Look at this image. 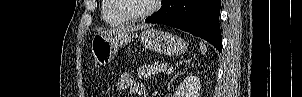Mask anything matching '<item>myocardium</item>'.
<instances>
[{"instance_id": "myocardium-1", "label": "myocardium", "mask_w": 302, "mask_h": 97, "mask_svg": "<svg viewBox=\"0 0 302 97\" xmlns=\"http://www.w3.org/2000/svg\"><path fill=\"white\" fill-rule=\"evenodd\" d=\"M114 8L118 14L124 17L128 21H140L151 16L156 10L158 6V1H152L149 8L140 14H132L126 11L122 5V0H113Z\"/></svg>"}]
</instances>
